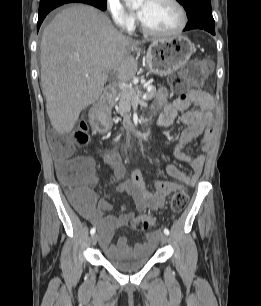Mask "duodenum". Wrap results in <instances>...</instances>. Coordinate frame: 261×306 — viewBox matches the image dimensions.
I'll use <instances>...</instances> for the list:
<instances>
[{"instance_id":"duodenum-1","label":"duodenum","mask_w":261,"mask_h":306,"mask_svg":"<svg viewBox=\"0 0 261 306\" xmlns=\"http://www.w3.org/2000/svg\"><path fill=\"white\" fill-rule=\"evenodd\" d=\"M117 97V90L113 86H107L104 91V96L100 102L101 107L108 108Z\"/></svg>"}]
</instances>
